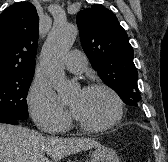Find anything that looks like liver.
I'll list each match as a JSON object with an SVG mask.
<instances>
[{
	"mask_svg": "<svg viewBox=\"0 0 168 162\" xmlns=\"http://www.w3.org/2000/svg\"><path fill=\"white\" fill-rule=\"evenodd\" d=\"M98 147L100 143L92 139L46 137L28 128L0 123V162H57Z\"/></svg>",
	"mask_w": 168,
	"mask_h": 162,
	"instance_id": "liver-1",
	"label": "liver"
}]
</instances>
